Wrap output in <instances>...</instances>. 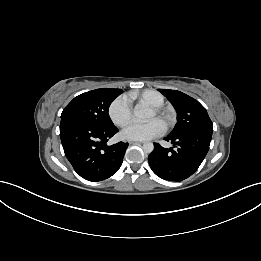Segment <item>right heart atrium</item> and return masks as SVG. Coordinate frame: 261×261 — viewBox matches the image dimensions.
<instances>
[{
	"mask_svg": "<svg viewBox=\"0 0 261 261\" xmlns=\"http://www.w3.org/2000/svg\"><path fill=\"white\" fill-rule=\"evenodd\" d=\"M108 114L115 125L119 127L127 125L132 116L129 98L125 95L115 98L108 108Z\"/></svg>",
	"mask_w": 261,
	"mask_h": 261,
	"instance_id": "1",
	"label": "right heart atrium"
}]
</instances>
